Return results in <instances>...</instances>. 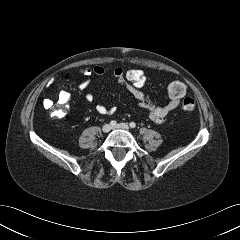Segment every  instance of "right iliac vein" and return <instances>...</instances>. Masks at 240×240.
I'll return each instance as SVG.
<instances>
[{
  "label": "right iliac vein",
  "instance_id": "63e3f726",
  "mask_svg": "<svg viewBox=\"0 0 240 240\" xmlns=\"http://www.w3.org/2000/svg\"><path fill=\"white\" fill-rule=\"evenodd\" d=\"M110 130H111V126H110L109 124L103 125L102 131H103L104 133H108Z\"/></svg>",
  "mask_w": 240,
  "mask_h": 240
}]
</instances>
